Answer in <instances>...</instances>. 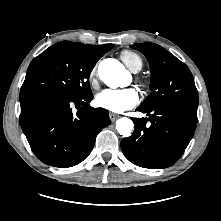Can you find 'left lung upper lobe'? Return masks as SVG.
Segmentation results:
<instances>
[{"instance_id": "5c2ea615", "label": "left lung upper lobe", "mask_w": 221, "mask_h": 221, "mask_svg": "<svg viewBox=\"0 0 221 221\" xmlns=\"http://www.w3.org/2000/svg\"><path fill=\"white\" fill-rule=\"evenodd\" d=\"M131 48L145 55L151 69L152 92L139 107L151 109L173 102L198 106V92L192 73L183 62L154 43H138Z\"/></svg>"}]
</instances>
